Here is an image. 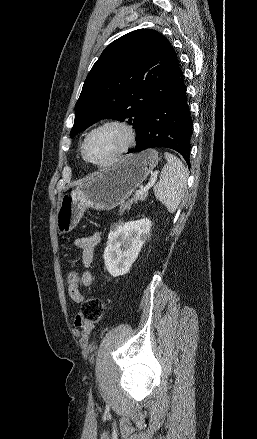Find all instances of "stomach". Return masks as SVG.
Returning <instances> with one entry per match:
<instances>
[{"label": "stomach", "mask_w": 257, "mask_h": 439, "mask_svg": "<svg viewBox=\"0 0 257 439\" xmlns=\"http://www.w3.org/2000/svg\"><path fill=\"white\" fill-rule=\"evenodd\" d=\"M158 153L147 149L120 159L88 182L62 195L56 225L61 234L73 230L88 208L109 211L124 203L158 163Z\"/></svg>", "instance_id": "0dacf381"}]
</instances>
